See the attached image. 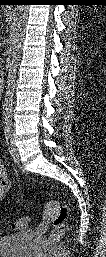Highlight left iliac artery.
Listing matches in <instances>:
<instances>
[{
	"mask_svg": "<svg viewBox=\"0 0 106 257\" xmlns=\"http://www.w3.org/2000/svg\"><path fill=\"white\" fill-rule=\"evenodd\" d=\"M12 137V131L10 128L6 129V138L7 140L10 139Z\"/></svg>",
	"mask_w": 106,
	"mask_h": 257,
	"instance_id": "obj_1",
	"label": "left iliac artery"
}]
</instances>
